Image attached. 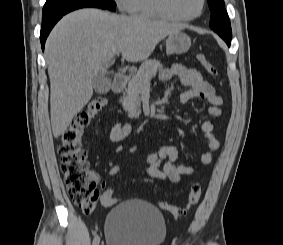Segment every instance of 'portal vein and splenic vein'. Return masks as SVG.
<instances>
[{
    "instance_id": "obj_1",
    "label": "portal vein and splenic vein",
    "mask_w": 283,
    "mask_h": 245,
    "mask_svg": "<svg viewBox=\"0 0 283 245\" xmlns=\"http://www.w3.org/2000/svg\"><path fill=\"white\" fill-rule=\"evenodd\" d=\"M119 54H120V52H117V53H116V55H119Z\"/></svg>"
}]
</instances>
